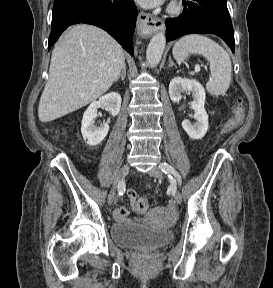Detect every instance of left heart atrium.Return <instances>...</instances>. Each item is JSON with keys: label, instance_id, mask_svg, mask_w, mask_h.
<instances>
[{"label": "left heart atrium", "instance_id": "39dd6f15", "mask_svg": "<svg viewBox=\"0 0 273 288\" xmlns=\"http://www.w3.org/2000/svg\"><path fill=\"white\" fill-rule=\"evenodd\" d=\"M143 7H153L159 5L163 0H136Z\"/></svg>", "mask_w": 273, "mask_h": 288}]
</instances>
